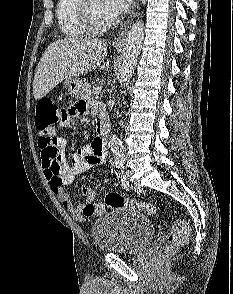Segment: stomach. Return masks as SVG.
Instances as JSON below:
<instances>
[{
	"label": "stomach",
	"mask_w": 233,
	"mask_h": 294,
	"mask_svg": "<svg viewBox=\"0 0 233 294\" xmlns=\"http://www.w3.org/2000/svg\"><path fill=\"white\" fill-rule=\"evenodd\" d=\"M81 86L82 82L77 77L66 79L63 82V87L67 91L68 95L73 98H78L80 96Z\"/></svg>",
	"instance_id": "0dacf381"
}]
</instances>
